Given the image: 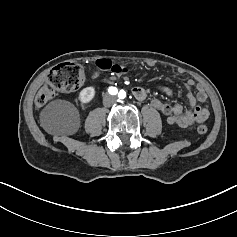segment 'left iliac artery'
Here are the masks:
<instances>
[{"label":"left iliac artery","instance_id":"44dca946","mask_svg":"<svg viewBox=\"0 0 237 237\" xmlns=\"http://www.w3.org/2000/svg\"><path fill=\"white\" fill-rule=\"evenodd\" d=\"M120 98H125L126 97V92L124 90H121L118 94Z\"/></svg>","mask_w":237,"mask_h":237}]
</instances>
